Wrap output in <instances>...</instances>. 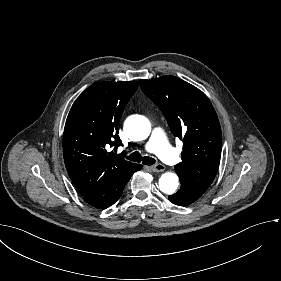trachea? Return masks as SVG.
<instances>
[{"label": "trachea", "mask_w": 281, "mask_h": 281, "mask_svg": "<svg viewBox=\"0 0 281 281\" xmlns=\"http://www.w3.org/2000/svg\"><path fill=\"white\" fill-rule=\"evenodd\" d=\"M126 158L130 161L137 162V163H140L142 161L144 165H148V166H151L156 163V160L154 158L148 156L142 157L139 152H133L132 154L126 156Z\"/></svg>", "instance_id": "3493384b"}]
</instances>
